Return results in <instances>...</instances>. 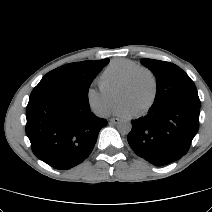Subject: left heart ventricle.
Wrapping results in <instances>:
<instances>
[{"label": "left heart ventricle", "mask_w": 212, "mask_h": 212, "mask_svg": "<svg viewBox=\"0 0 212 212\" xmlns=\"http://www.w3.org/2000/svg\"><path fill=\"white\" fill-rule=\"evenodd\" d=\"M150 95V79L148 76L142 74L138 76L131 88L121 94L120 99L136 112L148 102Z\"/></svg>", "instance_id": "b2bd125f"}]
</instances>
